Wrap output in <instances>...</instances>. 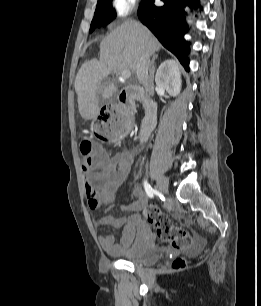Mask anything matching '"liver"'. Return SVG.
Wrapping results in <instances>:
<instances>
[{
  "mask_svg": "<svg viewBox=\"0 0 261 306\" xmlns=\"http://www.w3.org/2000/svg\"><path fill=\"white\" fill-rule=\"evenodd\" d=\"M160 49V43L147 27L136 20H127L115 28L100 43V58L85 62L75 80L79 113L85 120H92L99 113V97L110 98L118 91L115 84L108 85L102 94L100 83L110 74L123 70L136 71L143 52L150 56Z\"/></svg>",
  "mask_w": 261,
  "mask_h": 306,
  "instance_id": "1",
  "label": "liver"
}]
</instances>
